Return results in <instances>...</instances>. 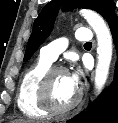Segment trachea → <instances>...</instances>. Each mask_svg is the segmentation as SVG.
Returning <instances> with one entry per match:
<instances>
[{"mask_svg":"<svg viewBox=\"0 0 118 123\" xmlns=\"http://www.w3.org/2000/svg\"><path fill=\"white\" fill-rule=\"evenodd\" d=\"M85 44H87V45H91V44H92V42H86Z\"/></svg>","mask_w":118,"mask_h":123,"instance_id":"trachea-1","label":"trachea"}]
</instances>
